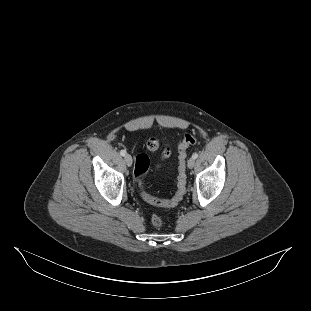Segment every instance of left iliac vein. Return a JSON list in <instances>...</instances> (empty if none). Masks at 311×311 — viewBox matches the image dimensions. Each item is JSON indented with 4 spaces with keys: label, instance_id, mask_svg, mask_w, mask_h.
Segmentation results:
<instances>
[{
    "label": "left iliac vein",
    "instance_id": "1",
    "mask_svg": "<svg viewBox=\"0 0 311 311\" xmlns=\"http://www.w3.org/2000/svg\"><path fill=\"white\" fill-rule=\"evenodd\" d=\"M195 165V159L194 158H190L188 160V168L192 169Z\"/></svg>",
    "mask_w": 311,
    "mask_h": 311
}]
</instances>
